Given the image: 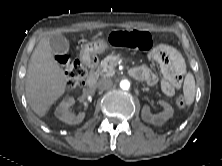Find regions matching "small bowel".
<instances>
[{
    "label": "small bowel",
    "mask_w": 222,
    "mask_h": 166,
    "mask_svg": "<svg viewBox=\"0 0 222 166\" xmlns=\"http://www.w3.org/2000/svg\"><path fill=\"white\" fill-rule=\"evenodd\" d=\"M148 58L159 64L163 75L161 81L163 93L167 96H173L175 91L180 88L186 74V65L182 55L174 47L162 44L155 47L148 54ZM132 73L136 79L143 80L150 86L158 84L157 75L146 67H135Z\"/></svg>",
    "instance_id": "1"
}]
</instances>
